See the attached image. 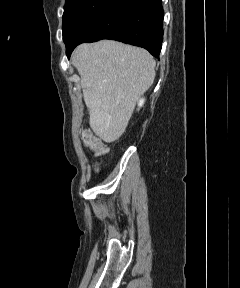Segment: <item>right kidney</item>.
Masks as SVG:
<instances>
[{"label": "right kidney", "mask_w": 240, "mask_h": 288, "mask_svg": "<svg viewBox=\"0 0 240 288\" xmlns=\"http://www.w3.org/2000/svg\"><path fill=\"white\" fill-rule=\"evenodd\" d=\"M144 104V99H141L139 102V106L141 107Z\"/></svg>", "instance_id": "right-kidney-1"}]
</instances>
